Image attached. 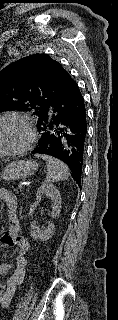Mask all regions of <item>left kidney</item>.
Here are the masks:
<instances>
[{
	"label": "left kidney",
	"mask_w": 118,
	"mask_h": 320,
	"mask_svg": "<svg viewBox=\"0 0 118 320\" xmlns=\"http://www.w3.org/2000/svg\"><path fill=\"white\" fill-rule=\"evenodd\" d=\"M49 197L51 200V216L57 217L60 214L61 210V195L59 190L52 184L45 183L41 185L36 193L37 200L41 201L43 197ZM33 230L31 231V236L34 239H45L51 233V225L48 226H32Z\"/></svg>",
	"instance_id": "obj_1"
}]
</instances>
